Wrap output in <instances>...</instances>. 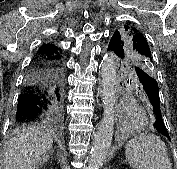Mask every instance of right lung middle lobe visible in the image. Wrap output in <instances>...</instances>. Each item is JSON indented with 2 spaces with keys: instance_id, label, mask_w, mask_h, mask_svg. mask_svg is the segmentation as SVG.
Masks as SVG:
<instances>
[{
  "instance_id": "1",
  "label": "right lung middle lobe",
  "mask_w": 177,
  "mask_h": 169,
  "mask_svg": "<svg viewBox=\"0 0 177 169\" xmlns=\"http://www.w3.org/2000/svg\"><path fill=\"white\" fill-rule=\"evenodd\" d=\"M62 121V120H61ZM61 121L57 123V125H60L61 124Z\"/></svg>"
}]
</instances>
